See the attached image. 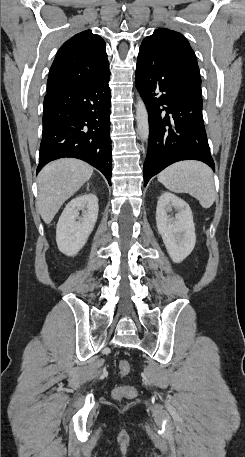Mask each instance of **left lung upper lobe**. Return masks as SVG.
<instances>
[{
	"instance_id": "left-lung-upper-lobe-1",
	"label": "left lung upper lobe",
	"mask_w": 245,
	"mask_h": 457,
	"mask_svg": "<svg viewBox=\"0 0 245 457\" xmlns=\"http://www.w3.org/2000/svg\"><path fill=\"white\" fill-rule=\"evenodd\" d=\"M159 49L170 51L187 76L201 88L200 72L195 53L181 33L159 28L154 31L153 35L146 37L140 46V51L152 52Z\"/></svg>"
}]
</instances>
